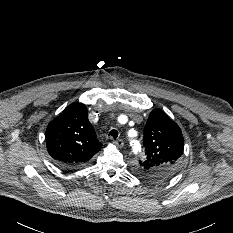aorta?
Masks as SVG:
<instances>
[{"label": "aorta", "instance_id": "1", "mask_svg": "<svg viewBox=\"0 0 233 233\" xmlns=\"http://www.w3.org/2000/svg\"><path fill=\"white\" fill-rule=\"evenodd\" d=\"M132 145H133L134 152L138 153L141 151V145H140L139 141L133 140Z\"/></svg>", "mask_w": 233, "mask_h": 233}]
</instances>
